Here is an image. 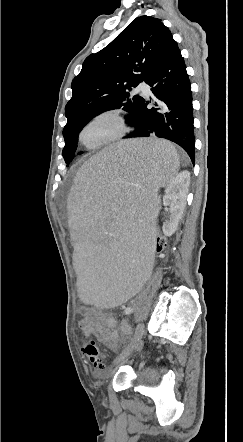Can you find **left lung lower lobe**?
<instances>
[{"instance_id":"left-lung-lower-lobe-1","label":"left lung lower lobe","mask_w":243,"mask_h":442,"mask_svg":"<svg viewBox=\"0 0 243 442\" xmlns=\"http://www.w3.org/2000/svg\"><path fill=\"white\" fill-rule=\"evenodd\" d=\"M144 81L156 97L151 109L143 101L128 122L135 130L124 138L158 137L181 146L194 163L195 137L191 83L184 58L171 34L147 72Z\"/></svg>"}]
</instances>
